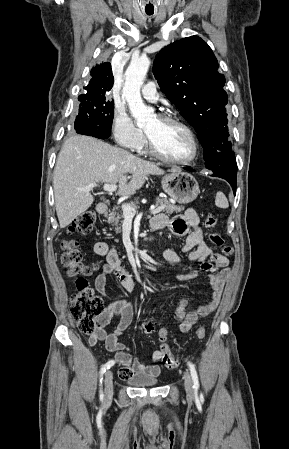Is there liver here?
Wrapping results in <instances>:
<instances>
[{"mask_svg":"<svg viewBox=\"0 0 289 449\" xmlns=\"http://www.w3.org/2000/svg\"><path fill=\"white\" fill-rule=\"evenodd\" d=\"M155 163L88 136L68 138L59 152L54 168L53 188L60 228L68 226L91 207L92 183L119 184L117 194L131 196L139 190L147 175H163Z\"/></svg>","mask_w":289,"mask_h":449,"instance_id":"1","label":"liver"}]
</instances>
